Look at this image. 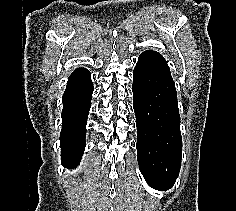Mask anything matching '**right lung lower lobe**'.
Segmentation results:
<instances>
[{
  "mask_svg": "<svg viewBox=\"0 0 236 211\" xmlns=\"http://www.w3.org/2000/svg\"><path fill=\"white\" fill-rule=\"evenodd\" d=\"M90 76L84 68L74 71L62 97L61 160L69 168L78 165L85 149L86 122L93 93Z\"/></svg>",
  "mask_w": 236,
  "mask_h": 211,
  "instance_id": "98d812e1",
  "label": "right lung lower lobe"
}]
</instances>
